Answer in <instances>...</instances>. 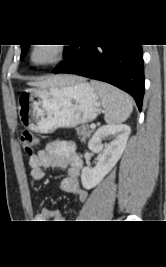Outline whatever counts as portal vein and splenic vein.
I'll use <instances>...</instances> for the list:
<instances>
[{"label":"portal vein and splenic vein","mask_w":166,"mask_h":267,"mask_svg":"<svg viewBox=\"0 0 166 267\" xmlns=\"http://www.w3.org/2000/svg\"><path fill=\"white\" fill-rule=\"evenodd\" d=\"M90 127H91L92 129H95L96 125H95V124H91Z\"/></svg>","instance_id":"obj_1"}]
</instances>
